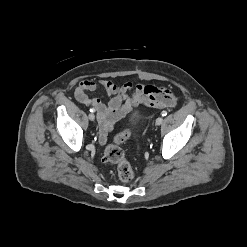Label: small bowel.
<instances>
[{
	"instance_id": "c3829d8e",
	"label": "small bowel",
	"mask_w": 247,
	"mask_h": 247,
	"mask_svg": "<svg viewBox=\"0 0 247 247\" xmlns=\"http://www.w3.org/2000/svg\"><path fill=\"white\" fill-rule=\"evenodd\" d=\"M100 88L104 89L109 98L107 103L90 96L91 92ZM75 98L84 105L92 106L97 112L101 143L106 142L114 124L137 105L143 104L147 107L163 109L172 108L177 102L176 96L169 88L131 82L118 86L111 80L98 82L83 80L75 90Z\"/></svg>"
}]
</instances>
